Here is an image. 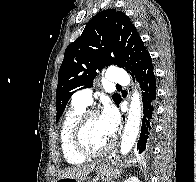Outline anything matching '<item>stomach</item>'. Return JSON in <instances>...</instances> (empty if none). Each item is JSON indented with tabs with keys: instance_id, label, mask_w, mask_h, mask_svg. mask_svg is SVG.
I'll use <instances>...</instances> for the list:
<instances>
[{
	"instance_id": "obj_1",
	"label": "stomach",
	"mask_w": 196,
	"mask_h": 182,
	"mask_svg": "<svg viewBox=\"0 0 196 182\" xmlns=\"http://www.w3.org/2000/svg\"><path fill=\"white\" fill-rule=\"evenodd\" d=\"M96 173L105 182H109L113 178H117L120 175V172L107 162H99L96 167ZM56 182H90V181L87 177L84 178L64 177V178L57 179Z\"/></svg>"
}]
</instances>
